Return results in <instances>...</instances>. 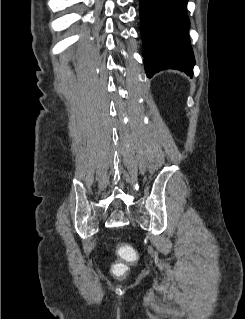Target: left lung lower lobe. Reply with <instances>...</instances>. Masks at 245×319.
<instances>
[{"label": "left lung lower lobe", "mask_w": 245, "mask_h": 319, "mask_svg": "<svg viewBox=\"0 0 245 319\" xmlns=\"http://www.w3.org/2000/svg\"><path fill=\"white\" fill-rule=\"evenodd\" d=\"M146 74L177 69L192 76L195 64L186 13L188 0H139Z\"/></svg>", "instance_id": "0a47b994"}]
</instances>
